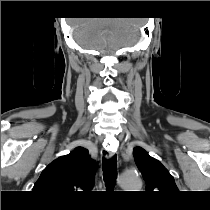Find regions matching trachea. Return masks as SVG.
<instances>
[{
  "label": "trachea",
  "instance_id": "trachea-1",
  "mask_svg": "<svg viewBox=\"0 0 210 210\" xmlns=\"http://www.w3.org/2000/svg\"><path fill=\"white\" fill-rule=\"evenodd\" d=\"M103 177L106 187H113L117 178V156L114 155L110 160L103 159Z\"/></svg>",
  "mask_w": 210,
  "mask_h": 210
}]
</instances>
